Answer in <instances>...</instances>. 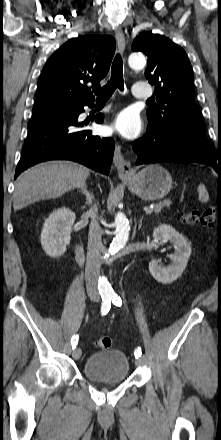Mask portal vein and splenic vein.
Listing matches in <instances>:
<instances>
[{
    "label": "portal vein and splenic vein",
    "instance_id": "portal-vein-and-splenic-vein-1",
    "mask_svg": "<svg viewBox=\"0 0 221 440\" xmlns=\"http://www.w3.org/2000/svg\"><path fill=\"white\" fill-rule=\"evenodd\" d=\"M152 207H146V208H144V211H145V213L146 214H151L152 213Z\"/></svg>",
    "mask_w": 221,
    "mask_h": 440
}]
</instances>
